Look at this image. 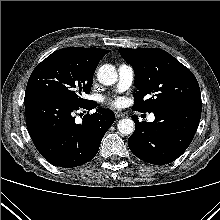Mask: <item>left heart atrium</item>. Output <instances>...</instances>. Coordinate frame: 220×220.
<instances>
[{
    "label": "left heart atrium",
    "mask_w": 220,
    "mask_h": 220,
    "mask_svg": "<svg viewBox=\"0 0 220 220\" xmlns=\"http://www.w3.org/2000/svg\"><path fill=\"white\" fill-rule=\"evenodd\" d=\"M114 105H120L121 103V100L120 99H117L115 101L112 102Z\"/></svg>",
    "instance_id": "obj_1"
}]
</instances>
